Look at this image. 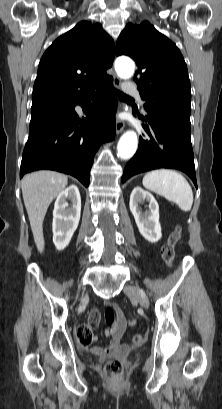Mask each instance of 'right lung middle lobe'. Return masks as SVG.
<instances>
[{
  "label": "right lung middle lobe",
  "mask_w": 222,
  "mask_h": 409,
  "mask_svg": "<svg viewBox=\"0 0 222 409\" xmlns=\"http://www.w3.org/2000/svg\"><path fill=\"white\" fill-rule=\"evenodd\" d=\"M46 107H41V108H31L32 113H35L37 111H40L42 109H45Z\"/></svg>",
  "instance_id": "1"
}]
</instances>
